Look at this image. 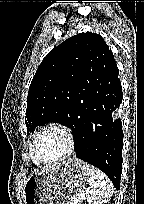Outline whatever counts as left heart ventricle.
Masks as SVG:
<instances>
[{
  "mask_svg": "<svg viewBox=\"0 0 144 204\" xmlns=\"http://www.w3.org/2000/svg\"><path fill=\"white\" fill-rule=\"evenodd\" d=\"M35 150L40 160H55L66 152L67 139L60 131H46L38 138Z\"/></svg>",
  "mask_w": 144,
  "mask_h": 204,
  "instance_id": "b2bd125f",
  "label": "left heart ventricle"
}]
</instances>
